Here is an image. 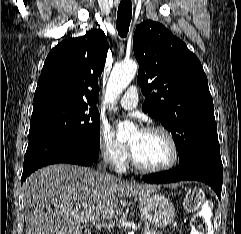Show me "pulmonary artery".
<instances>
[{
	"label": "pulmonary artery",
	"instance_id": "obj_1",
	"mask_svg": "<svg viewBox=\"0 0 241 234\" xmlns=\"http://www.w3.org/2000/svg\"><path fill=\"white\" fill-rule=\"evenodd\" d=\"M138 100H139V97H138L137 87L131 86L120 98L119 104L124 109L132 110L137 107Z\"/></svg>",
	"mask_w": 241,
	"mask_h": 234
}]
</instances>
